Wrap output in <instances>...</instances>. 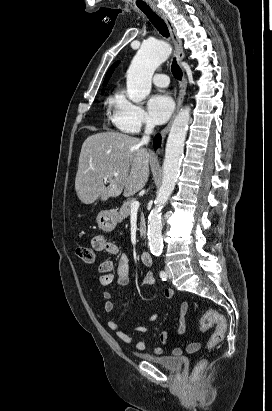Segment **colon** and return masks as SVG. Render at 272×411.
I'll return each mask as SVG.
<instances>
[{
  "label": "colon",
  "mask_w": 272,
  "mask_h": 411,
  "mask_svg": "<svg viewBox=\"0 0 272 411\" xmlns=\"http://www.w3.org/2000/svg\"><path fill=\"white\" fill-rule=\"evenodd\" d=\"M76 254L78 258L84 263L92 264L94 262V252L89 247L78 246L76 248ZM213 325H215L216 328L207 343V348L209 349L214 348L217 344L223 341L227 331V320L223 315L219 314L216 311H208L202 316L200 320V330L204 332L211 328ZM206 365V359H200L196 363L192 374V382L194 384L198 383L199 375L204 370Z\"/></svg>",
  "instance_id": "1"
}]
</instances>
